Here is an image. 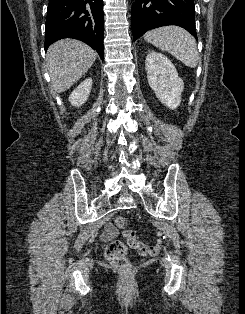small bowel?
<instances>
[{
  "label": "small bowel",
  "instance_id": "1",
  "mask_svg": "<svg viewBox=\"0 0 245 314\" xmlns=\"http://www.w3.org/2000/svg\"><path fill=\"white\" fill-rule=\"evenodd\" d=\"M118 235V230L112 225L107 224L104 228V232L102 233V240L103 241H110L114 239Z\"/></svg>",
  "mask_w": 245,
  "mask_h": 314
}]
</instances>
